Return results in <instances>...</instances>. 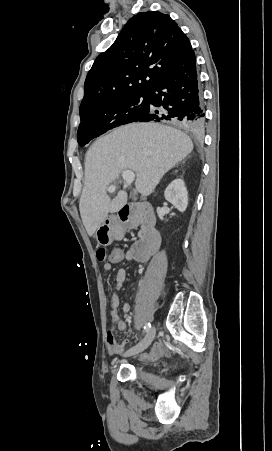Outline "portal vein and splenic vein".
I'll list each match as a JSON object with an SVG mask.
<instances>
[{
	"label": "portal vein and splenic vein",
	"mask_w": 272,
	"mask_h": 451,
	"mask_svg": "<svg viewBox=\"0 0 272 451\" xmlns=\"http://www.w3.org/2000/svg\"><path fill=\"white\" fill-rule=\"evenodd\" d=\"M122 178L125 180L126 184H132L133 180H135V174L134 172H131V170H124L122 172ZM116 186H109L107 188V192H115Z\"/></svg>",
	"instance_id": "1"
}]
</instances>
